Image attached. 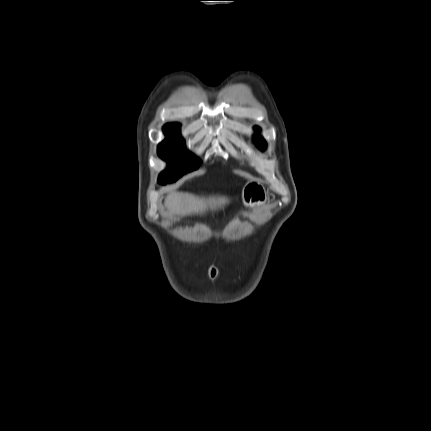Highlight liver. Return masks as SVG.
<instances>
[{"label":"liver","instance_id":"1","mask_svg":"<svg viewBox=\"0 0 431 431\" xmlns=\"http://www.w3.org/2000/svg\"><path fill=\"white\" fill-rule=\"evenodd\" d=\"M226 203L224 198H210L209 200L196 198L188 194L172 192L167 198V205L174 212H202L208 206L216 208Z\"/></svg>","mask_w":431,"mask_h":431}]
</instances>
